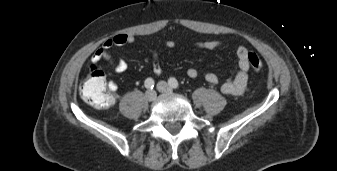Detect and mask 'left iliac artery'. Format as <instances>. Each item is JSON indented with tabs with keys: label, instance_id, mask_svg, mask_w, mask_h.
<instances>
[{
	"label": "left iliac artery",
	"instance_id": "left-iliac-artery-1",
	"mask_svg": "<svg viewBox=\"0 0 337 171\" xmlns=\"http://www.w3.org/2000/svg\"><path fill=\"white\" fill-rule=\"evenodd\" d=\"M168 83H169V85H170L172 88H174V89L179 88V83H178V81H177L175 78H170V79L168 80Z\"/></svg>",
	"mask_w": 337,
	"mask_h": 171
}]
</instances>
